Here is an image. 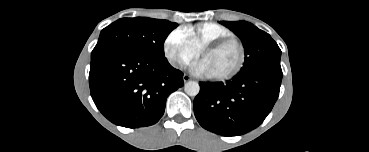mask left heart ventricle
<instances>
[{
    "label": "left heart ventricle",
    "mask_w": 369,
    "mask_h": 152,
    "mask_svg": "<svg viewBox=\"0 0 369 152\" xmlns=\"http://www.w3.org/2000/svg\"><path fill=\"white\" fill-rule=\"evenodd\" d=\"M239 60V49L233 44H227L217 50L205 52L201 56L210 76H219L233 70Z\"/></svg>",
    "instance_id": "obj_1"
}]
</instances>
